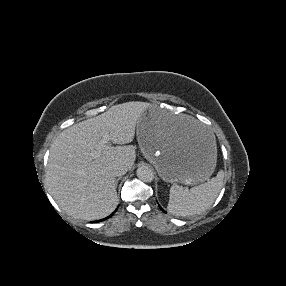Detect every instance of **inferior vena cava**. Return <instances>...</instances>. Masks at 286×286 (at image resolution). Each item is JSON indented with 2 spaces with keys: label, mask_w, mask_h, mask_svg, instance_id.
I'll return each mask as SVG.
<instances>
[{
  "label": "inferior vena cava",
  "mask_w": 286,
  "mask_h": 286,
  "mask_svg": "<svg viewBox=\"0 0 286 286\" xmlns=\"http://www.w3.org/2000/svg\"><path fill=\"white\" fill-rule=\"evenodd\" d=\"M111 172L114 176L120 177L127 172V167L125 164L116 163L111 167Z\"/></svg>",
  "instance_id": "1"
}]
</instances>
